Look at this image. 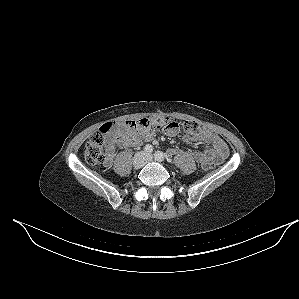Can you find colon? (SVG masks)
Segmentation results:
<instances>
[{"instance_id": "obj_1", "label": "colon", "mask_w": 299, "mask_h": 299, "mask_svg": "<svg viewBox=\"0 0 299 299\" xmlns=\"http://www.w3.org/2000/svg\"><path fill=\"white\" fill-rule=\"evenodd\" d=\"M129 127L138 129L155 128L166 133L177 132L179 124L165 116H151L136 121H128ZM116 127L115 122H108L102 125L87 142L84 150V158L90 165L101 164L105 161L104 145L106 140ZM183 129L190 135L198 134L202 130V126L196 121H186L183 124ZM203 170H210L214 167L212 161H204L201 163Z\"/></svg>"}]
</instances>
